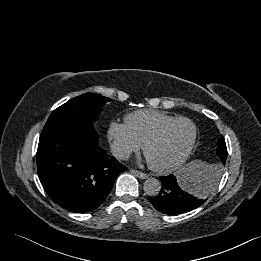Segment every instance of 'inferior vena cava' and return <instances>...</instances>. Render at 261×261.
Instances as JSON below:
<instances>
[{"mask_svg":"<svg viewBox=\"0 0 261 261\" xmlns=\"http://www.w3.org/2000/svg\"><path fill=\"white\" fill-rule=\"evenodd\" d=\"M111 152L116 158L121 160H126L131 155V151L128 148L117 145L111 147Z\"/></svg>","mask_w":261,"mask_h":261,"instance_id":"1","label":"inferior vena cava"}]
</instances>
